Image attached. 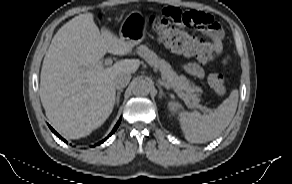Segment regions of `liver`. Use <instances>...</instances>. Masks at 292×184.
I'll use <instances>...</instances> for the list:
<instances>
[{"mask_svg":"<svg viewBox=\"0 0 292 184\" xmlns=\"http://www.w3.org/2000/svg\"><path fill=\"white\" fill-rule=\"evenodd\" d=\"M133 46L99 28L92 13L80 14L54 35L44 57L39 95L50 123L70 139L89 135L112 113L115 78L134 73L137 59H125L104 68L106 52L127 55Z\"/></svg>","mask_w":292,"mask_h":184,"instance_id":"obj_1","label":"liver"}]
</instances>
